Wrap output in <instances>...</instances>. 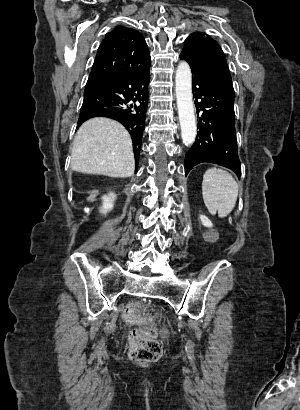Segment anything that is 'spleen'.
Wrapping results in <instances>:
<instances>
[{
    "instance_id": "spleen-1",
    "label": "spleen",
    "mask_w": 300,
    "mask_h": 410,
    "mask_svg": "<svg viewBox=\"0 0 300 410\" xmlns=\"http://www.w3.org/2000/svg\"><path fill=\"white\" fill-rule=\"evenodd\" d=\"M202 195L208 211L226 217L235 207L238 197V184L233 176L225 170L210 168L202 182Z\"/></svg>"
}]
</instances>
